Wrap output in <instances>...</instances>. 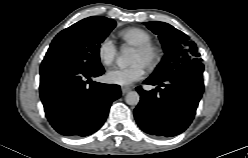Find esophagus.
Returning a JSON list of instances; mask_svg holds the SVG:
<instances>
[{
  "instance_id": "1",
  "label": "esophagus",
  "mask_w": 248,
  "mask_h": 158,
  "mask_svg": "<svg viewBox=\"0 0 248 158\" xmlns=\"http://www.w3.org/2000/svg\"><path fill=\"white\" fill-rule=\"evenodd\" d=\"M131 90L130 87H127V86H122L121 87V91L123 94H126L127 92H129Z\"/></svg>"
}]
</instances>
